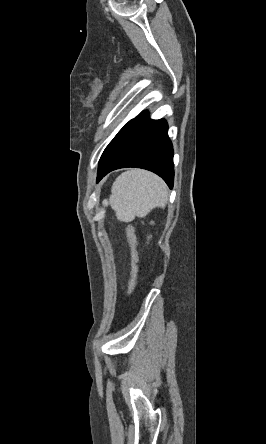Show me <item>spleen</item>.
Returning <instances> with one entry per match:
<instances>
[{"label": "spleen", "instance_id": "3e777b00", "mask_svg": "<svg viewBox=\"0 0 266 444\" xmlns=\"http://www.w3.org/2000/svg\"><path fill=\"white\" fill-rule=\"evenodd\" d=\"M110 203L119 220L132 221L146 217L156 207L164 206L167 186L157 175L131 169L123 172L112 185Z\"/></svg>", "mask_w": 266, "mask_h": 444}]
</instances>
